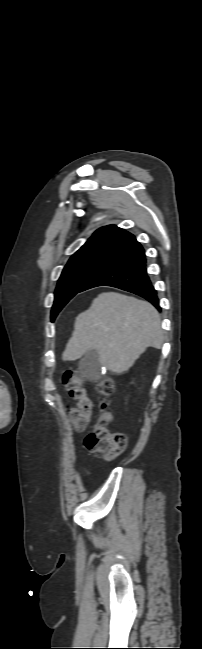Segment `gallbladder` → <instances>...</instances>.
<instances>
[{
    "label": "gallbladder",
    "mask_w": 202,
    "mask_h": 649,
    "mask_svg": "<svg viewBox=\"0 0 202 649\" xmlns=\"http://www.w3.org/2000/svg\"><path fill=\"white\" fill-rule=\"evenodd\" d=\"M80 373L90 381H97L102 376L99 353L95 349L88 350L79 361Z\"/></svg>",
    "instance_id": "bac80fb5"
}]
</instances>
